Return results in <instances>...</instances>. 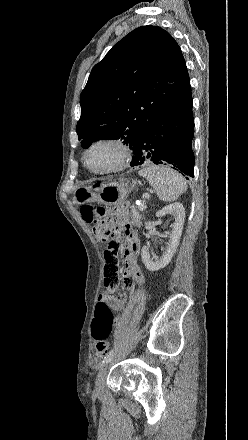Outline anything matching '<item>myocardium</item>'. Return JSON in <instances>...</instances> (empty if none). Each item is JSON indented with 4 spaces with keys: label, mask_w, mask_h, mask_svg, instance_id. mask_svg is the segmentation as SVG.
Masks as SVG:
<instances>
[{
    "label": "myocardium",
    "mask_w": 248,
    "mask_h": 440,
    "mask_svg": "<svg viewBox=\"0 0 248 440\" xmlns=\"http://www.w3.org/2000/svg\"><path fill=\"white\" fill-rule=\"evenodd\" d=\"M102 145H109L114 147L118 152L116 161L109 167L104 169H93L88 164V158L90 153L97 147ZM131 157L129 146L122 140L116 137H104L94 141L84 153V166L92 174L106 175L122 171L128 164Z\"/></svg>",
    "instance_id": "1"
}]
</instances>
